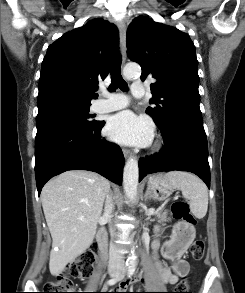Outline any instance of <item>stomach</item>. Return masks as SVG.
<instances>
[{
  "label": "stomach",
  "instance_id": "1",
  "mask_svg": "<svg viewBox=\"0 0 245 293\" xmlns=\"http://www.w3.org/2000/svg\"><path fill=\"white\" fill-rule=\"evenodd\" d=\"M175 187L166 179L165 175L157 174L149 177L148 180V192L151 197L156 200L167 199L174 191ZM181 232H189L190 236L186 244H189L194 238V229L191 226L183 225L181 227Z\"/></svg>",
  "mask_w": 245,
  "mask_h": 293
}]
</instances>
